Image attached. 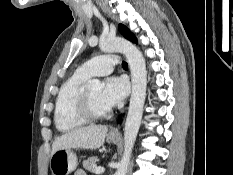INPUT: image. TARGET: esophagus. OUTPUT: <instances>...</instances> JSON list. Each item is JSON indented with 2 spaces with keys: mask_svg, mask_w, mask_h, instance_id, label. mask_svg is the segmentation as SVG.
Wrapping results in <instances>:
<instances>
[{
  "mask_svg": "<svg viewBox=\"0 0 233 175\" xmlns=\"http://www.w3.org/2000/svg\"><path fill=\"white\" fill-rule=\"evenodd\" d=\"M119 133H120V127L119 126H116V127L112 128L110 130V134H112V135H119Z\"/></svg>",
  "mask_w": 233,
  "mask_h": 175,
  "instance_id": "esophagus-1",
  "label": "esophagus"
}]
</instances>
